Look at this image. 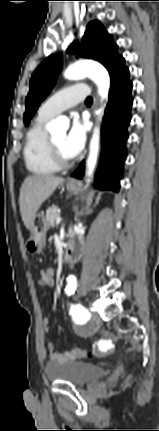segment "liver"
I'll use <instances>...</instances> for the list:
<instances>
[{"instance_id": "1", "label": "liver", "mask_w": 159, "mask_h": 431, "mask_svg": "<svg viewBox=\"0 0 159 431\" xmlns=\"http://www.w3.org/2000/svg\"><path fill=\"white\" fill-rule=\"evenodd\" d=\"M64 182V178L53 175H32L24 180L19 197L22 220L27 229L43 202Z\"/></svg>"}]
</instances>
